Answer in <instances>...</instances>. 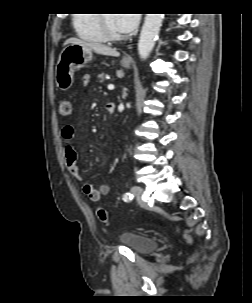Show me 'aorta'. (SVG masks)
Returning a JSON list of instances; mask_svg holds the SVG:
<instances>
[{"mask_svg": "<svg viewBox=\"0 0 252 303\" xmlns=\"http://www.w3.org/2000/svg\"><path fill=\"white\" fill-rule=\"evenodd\" d=\"M163 14H146L138 41V54L145 60L154 48L158 38Z\"/></svg>", "mask_w": 252, "mask_h": 303, "instance_id": "762f6f07", "label": "aorta"}]
</instances>
